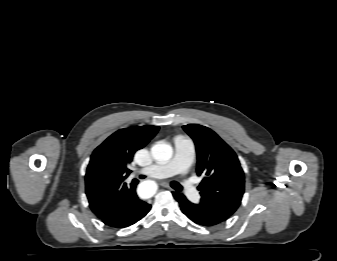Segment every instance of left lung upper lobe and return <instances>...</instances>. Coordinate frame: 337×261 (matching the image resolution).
<instances>
[{
	"label": "left lung upper lobe",
	"instance_id": "1",
	"mask_svg": "<svg viewBox=\"0 0 337 261\" xmlns=\"http://www.w3.org/2000/svg\"><path fill=\"white\" fill-rule=\"evenodd\" d=\"M183 129L197 151L199 206L227 220L239 207L244 193V173L235 152L211 129L188 124Z\"/></svg>",
	"mask_w": 337,
	"mask_h": 261
}]
</instances>
